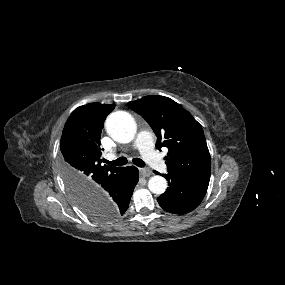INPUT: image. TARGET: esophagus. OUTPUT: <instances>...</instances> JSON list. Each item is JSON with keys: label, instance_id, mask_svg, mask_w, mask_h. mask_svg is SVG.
I'll use <instances>...</instances> for the list:
<instances>
[{"label": "esophagus", "instance_id": "1", "mask_svg": "<svg viewBox=\"0 0 285 285\" xmlns=\"http://www.w3.org/2000/svg\"><path fill=\"white\" fill-rule=\"evenodd\" d=\"M140 174L143 176H150L152 174V171L148 168H141Z\"/></svg>", "mask_w": 285, "mask_h": 285}]
</instances>
